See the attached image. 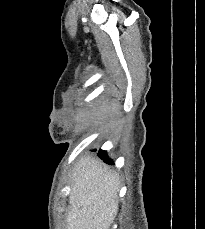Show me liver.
Wrapping results in <instances>:
<instances>
[{"instance_id": "1", "label": "liver", "mask_w": 205, "mask_h": 229, "mask_svg": "<svg viewBox=\"0 0 205 229\" xmlns=\"http://www.w3.org/2000/svg\"><path fill=\"white\" fill-rule=\"evenodd\" d=\"M119 188L106 165L91 157L81 160L72 176L67 229H109L118 212Z\"/></svg>"}]
</instances>
